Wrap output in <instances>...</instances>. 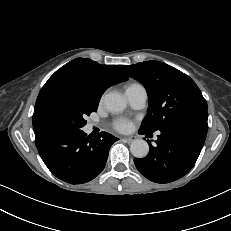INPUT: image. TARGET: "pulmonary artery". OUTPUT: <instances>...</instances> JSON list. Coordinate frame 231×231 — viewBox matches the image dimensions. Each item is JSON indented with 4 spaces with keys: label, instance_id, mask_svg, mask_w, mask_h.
Returning <instances> with one entry per match:
<instances>
[{
    "label": "pulmonary artery",
    "instance_id": "1",
    "mask_svg": "<svg viewBox=\"0 0 231 231\" xmlns=\"http://www.w3.org/2000/svg\"><path fill=\"white\" fill-rule=\"evenodd\" d=\"M126 96L129 104L134 109H141L145 105L147 99L146 91L142 86L126 91ZM91 127L92 124L89 125V128Z\"/></svg>",
    "mask_w": 231,
    "mask_h": 231
}]
</instances>
